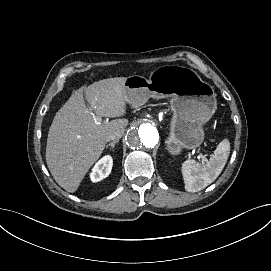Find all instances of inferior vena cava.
<instances>
[{
	"label": "inferior vena cava",
	"instance_id": "inferior-vena-cava-1",
	"mask_svg": "<svg viewBox=\"0 0 271 271\" xmlns=\"http://www.w3.org/2000/svg\"><path fill=\"white\" fill-rule=\"evenodd\" d=\"M122 136V131L112 133L106 137V141H118V139Z\"/></svg>",
	"mask_w": 271,
	"mask_h": 271
}]
</instances>
